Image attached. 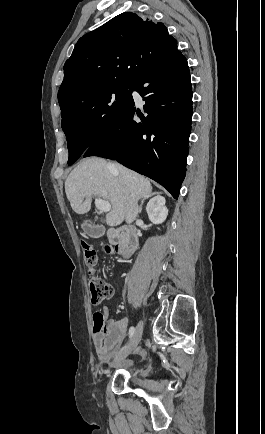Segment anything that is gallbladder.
<instances>
[{
	"mask_svg": "<svg viewBox=\"0 0 265 434\" xmlns=\"http://www.w3.org/2000/svg\"><path fill=\"white\" fill-rule=\"evenodd\" d=\"M83 228L84 232H86L88 236H91V238H102L105 232V228L102 224H84Z\"/></svg>",
	"mask_w": 265,
	"mask_h": 434,
	"instance_id": "bac80fb5",
	"label": "gallbladder"
}]
</instances>
